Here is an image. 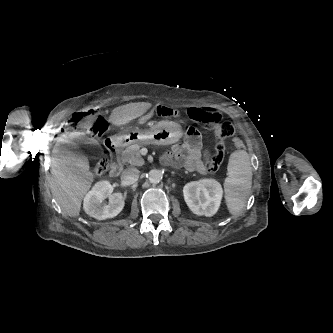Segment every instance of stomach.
Returning <instances> with one entry per match:
<instances>
[{
  "instance_id": "stomach-1",
  "label": "stomach",
  "mask_w": 333,
  "mask_h": 333,
  "mask_svg": "<svg viewBox=\"0 0 333 333\" xmlns=\"http://www.w3.org/2000/svg\"><path fill=\"white\" fill-rule=\"evenodd\" d=\"M182 135L179 124L165 120L144 130L128 128L112 136L111 141L119 147L133 143L169 145L178 142Z\"/></svg>"
}]
</instances>
